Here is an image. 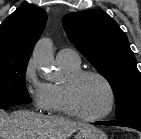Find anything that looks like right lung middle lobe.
<instances>
[{"label":"right lung middle lobe","instance_id":"right-lung-middle-lobe-1","mask_svg":"<svg viewBox=\"0 0 141 139\" xmlns=\"http://www.w3.org/2000/svg\"><path fill=\"white\" fill-rule=\"evenodd\" d=\"M28 63H0V108L31 103L25 85Z\"/></svg>","mask_w":141,"mask_h":139}]
</instances>
